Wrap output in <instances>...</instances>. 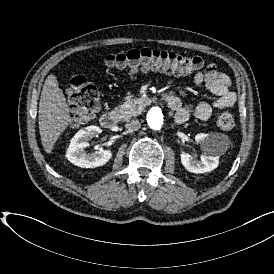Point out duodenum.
Masks as SVG:
<instances>
[{
	"mask_svg": "<svg viewBox=\"0 0 274 274\" xmlns=\"http://www.w3.org/2000/svg\"><path fill=\"white\" fill-rule=\"evenodd\" d=\"M162 97L166 100L168 106L171 109H177L180 105V100L177 96L162 94ZM118 115L115 113L107 112L102 114L100 118V123L104 129L114 130L118 125Z\"/></svg>",
	"mask_w": 274,
	"mask_h": 274,
	"instance_id": "1",
	"label": "duodenum"
}]
</instances>
